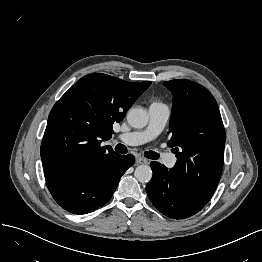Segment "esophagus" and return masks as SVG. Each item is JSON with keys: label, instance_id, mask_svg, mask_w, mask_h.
Here are the masks:
<instances>
[{"label": "esophagus", "instance_id": "esophagus-1", "mask_svg": "<svg viewBox=\"0 0 262 262\" xmlns=\"http://www.w3.org/2000/svg\"><path fill=\"white\" fill-rule=\"evenodd\" d=\"M136 163L137 164H147L148 160L142 156H137L136 157Z\"/></svg>", "mask_w": 262, "mask_h": 262}]
</instances>
